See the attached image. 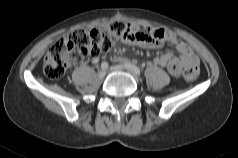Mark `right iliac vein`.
<instances>
[{"instance_id": "obj_1", "label": "right iliac vein", "mask_w": 238, "mask_h": 158, "mask_svg": "<svg viewBox=\"0 0 238 158\" xmlns=\"http://www.w3.org/2000/svg\"><path fill=\"white\" fill-rule=\"evenodd\" d=\"M105 75H106V71H105V70H101V71L98 73V77H99L100 79H103V78L105 77Z\"/></svg>"}]
</instances>
